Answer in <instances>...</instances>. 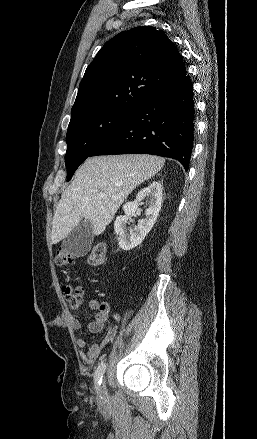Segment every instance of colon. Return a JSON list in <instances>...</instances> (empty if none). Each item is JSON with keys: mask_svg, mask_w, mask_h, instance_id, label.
<instances>
[{"mask_svg": "<svg viewBox=\"0 0 257 439\" xmlns=\"http://www.w3.org/2000/svg\"><path fill=\"white\" fill-rule=\"evenodd\" d=\"M106 255V245L97 243L89 254V264L98 267L103 264ZM55 263L59 267H71L75 264L74 256L65 249H58L55 255ZM66 304L71 309H78L84 299L85 289L80 284H66L63 287Z\"/></svg>", "mask_w": 257, "mask_h": 439, "instance_id": "5ec220e1", "label": "colon"}]
</instances>
